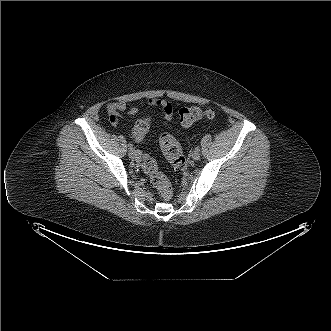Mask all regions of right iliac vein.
Segmentation results:
<instances>
[{
	"label": "right iliac vein",
	"instance_id": "right-iliac-vein-1",
	"mask_svg": "<svg viewBox=\"0 0 331 331\" xmlns=\"http://www.w3.org/2000/svg\"><path fill=\"white\" fill-rule=\"evenodd\" d=\"M139 154L140 153L135 149H130L128 152L129 157L132 159H137L139 157Z\"/></svg>",
	"mask_w": 331,
	"mask_h": 331
}]
</instances>
